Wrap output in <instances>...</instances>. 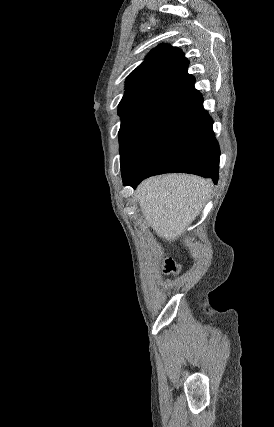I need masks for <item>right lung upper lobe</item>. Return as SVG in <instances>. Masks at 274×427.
<instances>
[{
	"instance_id": "1",
	"label": "right lung upper lobe",
	"mask_w": 274,
	"mask_h": 427,
	"mask_svg": "<svg viewBox=\"0 0 274 427\" xmlns=\"http://www.w3.org/2000/svg\"><path fill=\"white\" fill-rule=\"evenodd\" d=\"M188 63L180 49L160 44L129 74L119 108L150 99L176 105L193 97L198 91Z\"/></svg>"
}]
</instances>
